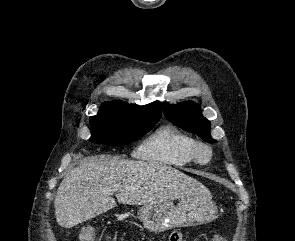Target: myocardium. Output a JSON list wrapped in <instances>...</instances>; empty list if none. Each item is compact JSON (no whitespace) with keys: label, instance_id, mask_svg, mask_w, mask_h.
I'll return each instance as SVG.
<instances>
[{"label":"myocardium","instance_id":"1","mask_svg":"<svg viewBox=\"0 0 295 241\" xmlns=\"http://www.w3.org/2000/svg\"><path fill=\"white\" fill-rule=\"evenodd\" d=\"M213 158L212 148L205 143H198L194 151V159L197 163L206 165Z\"/></svg>","mask_w":295,"mask_h":241}]
</instances>
